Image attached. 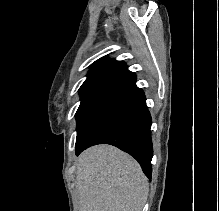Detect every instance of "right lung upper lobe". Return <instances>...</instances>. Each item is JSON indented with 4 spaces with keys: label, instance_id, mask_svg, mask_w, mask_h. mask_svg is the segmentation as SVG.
<instances>
[{
    "label": "right lung upper lobe",
    "instance_id": "right-lung-upper-lobe-1",
    "mask_svg": "<svg viewBox=\"0 0 219 211\" xmlns=\"http://www.w3.org/2000/svg\"><path fill=\"white\" fill-rule=\"evenodd\" d=\"M133 74L127 69L125 63L102 58L92 65L79 93L81 95L98 90L110 91Z\"/></svg>",
    "mask_w": 219,
    "mask_h": 211
}]
</instances>
